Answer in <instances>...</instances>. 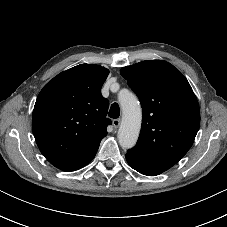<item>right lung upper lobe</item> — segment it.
<instances>
[{"label":"right lung upper lobe","mask_w":227,"mask_h":227,"mask_svg":"<svg viewBox=\"0 0 227 227\" xmlns=\"http://www.w3.org/2000/svg\"><path fill=\"white\" fill-rule=\"evenodd\" d=\"M109 70L80 64L48 82L39 93L32 130L44 157L55 167L74 171L88 164L107 135L108 100L101 87Z\"/></svg>","instance_id":"cb5924a9"}]
</instances>
